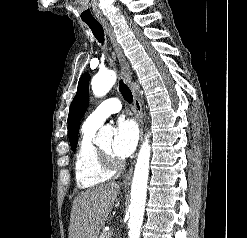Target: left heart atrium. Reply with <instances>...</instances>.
Here are the masks:
<instances>
[{"label":"left heart atrium","instance_id":"39dd6f15","mask_svg":"<svg viewBox=\"0 0 247 238\" xmlns=\"http://www.w3.org/2000/svg\"><path fill=\"white\" fill-rule=\"evenodd\" d=\"M138 141L136 124L129 119L120 118L115 126L112 152L119 158H126L134 151Z\"/></svg>","mask_w":247,"mask_h":238}]
</instances>
